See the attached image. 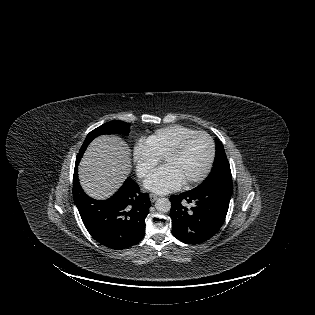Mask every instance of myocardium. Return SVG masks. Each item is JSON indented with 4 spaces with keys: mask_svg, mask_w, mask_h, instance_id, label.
<instances>
[{
    "mask_svg": "<svg viewBox=\"0 0 315 315\" xmlns=\"http://www.w3.org/2000/svg\"><path fill=\"white\" fill-rule=\"evenodd\" d=\"M196 136H204L208 140L209 156H208V160H207V163H206L203 171L198 176L184 182V184L188 185V186L194 185V184H197V183L203 181L208 176V174L210 173V170L213 166V162H214V158H215V143H214L213 138L207 132L195 131V132L183 137L163 157V161L165 162L167 159L179 155L180 153H182V151L184 150V148L186 147L188 142Z\"/></svg>",
    "mask_w": 315,
    "mask_h": 315,
    "instance_id": "obj_1",
    "label": "myocardium"
}]
</instances>
